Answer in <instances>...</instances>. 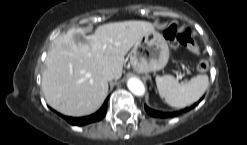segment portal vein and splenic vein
Here are the masks:
<instances>
[{
    "mask_svg": "<svg viewBox=\"0 0 247 145\" xmlns=\"http://www.w3.org/2000/svg\"><path fill=\"white\" fill-rule=\"evenodd\" d=\"M177 78H178V79H182V76H181V75H177Z\"/></svg>",
    "mask_w": 247,
    "mask_h": 145,
    "instance_id": "portal-vein-and-splenic-vein-1",
    "label": "portal vein and splenic vein"
}]
</instances>
